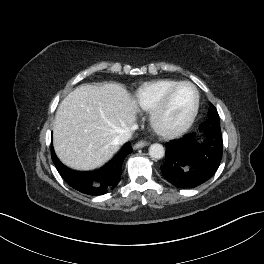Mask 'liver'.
I'll return each mask as SVG.
<instances>
[{
  "mask_svg": "<svg viewBox=\"0 0 264 264\" xmlns=\"http://www.w3.org/2000/svg\"><path fill=\"white\" fill-rule=\"evenodd\" d=\"M138 106L120 84L81 85L60 103L53 144L58 158L75 170H91L119 149L115 138L136 120Z\"/></svg>",
  "mask_w": 264,
  "mask_h": 264,
  "instance_id": "liver-1",
  "label": "liver"
}]
</instances>
